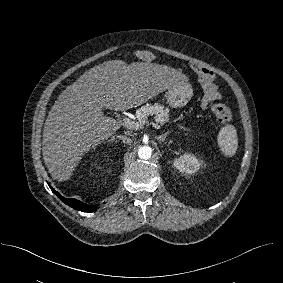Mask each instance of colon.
Segmentation results:
<instances>
[{
	"instance_id": "obj_1",
	"label": "colon",
	"mask_w": 283,
	"mask_h": 283,
	"mask_svg": "<svg viewBox=\"0 0 283 283\" xmlns=\"http://www.w3.org/2000/svg\"><path fill=\"white\" fill-rule=\"evenodd\" d=\"M136 56L137 58L144 61H150L153 59V54L146 50L137 51ZM211 111L217 117L221 126L227 125L232 119L231 111L224 104H220V103L213 104L211 106Z\"/></svg>"
}]
</instances>
